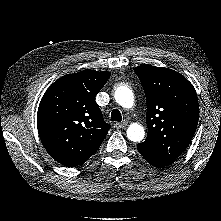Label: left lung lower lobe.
<instances>
[{
  "label": "left lung lower lobe",
  "instance_id": "obj_1",
  "mask_svg": "<svg viewBox=\"0 0 221 221\" xmlns=\"http://www.w3.org/2000/svg\"><path fill=\"white\" fill-rule=\"evenodd\" d=\"M146 160H147V159H146ZM147 162H148L149 164L155 166V167H163V166H165V165H161V164H158V163H156V162H153V161H151V160H147Z\"/></svg>",
  "mask_w": 221,
  "mask_h": 221
}]
</instances>
